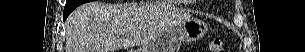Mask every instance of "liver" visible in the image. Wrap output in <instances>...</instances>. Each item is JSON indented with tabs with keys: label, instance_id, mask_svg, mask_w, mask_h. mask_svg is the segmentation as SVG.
Segmentation results:
<instances>
[{
	"label": "liver",
	"instance_id": "obj_1",
	"mask_svg": "<svg viewBox=\"0 0 305 52\" xmlns=\"http://www.w3.org/2000/svg\"><path fill=\"white\" fill-rule=\"evenodd\" d=\"M66 26V52H115L145 44L161 33L145 6L130 4L86 3L73 11Z\"/></svg>",
	"mask_w": 305,
	"mask_h": 52
}]
</instances>
